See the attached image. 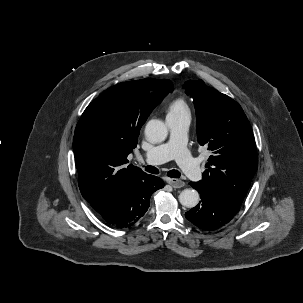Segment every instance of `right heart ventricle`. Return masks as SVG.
Returning a JSON list of instances; mask_svg holds the SVG:
<instances>
[{
  "mask_svg": "<svg viewBox=\"0 0 303 303\" xmlns=\"http://www.w3.org/2000/svg\"><path fill=\"white\" fill-rule=\"evenodd\" d=\"M190 116V109L183 98L172 100L167 107V118H179Z\"/></svg>",
  "mask_w": 303,
  "mask_h": 303,
  "instance_id": "e07e8e85",
  "label": "right heart ventricle"
}]
</instances>
